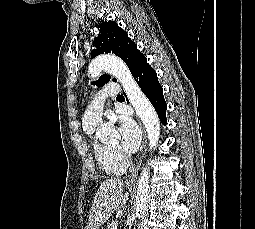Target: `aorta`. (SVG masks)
Segmentation results:
<instances>
[{"mask_svg": "<svg viewBox=\"0 0 255 229\" xmlns=\"http://www.w3.org/2000/svg\"><path fill=\"white\" fill-rule=\"evenodd\" d=\"M113 75L122 85L131 105L142 120L148 134L150 150H154L160 137V121L153 106L135 82L126 64L114 56H102L94 59L88 68V75L96 78L102 71ZM102 140L116 136V132L109 126L103 125L98 131ZM149 169L145 167L140 173L137 183L135 216L144 219L150 198Z\"/></svg>", "mask_w": 255, "mask_h": 229, "instance_id": "obj_1", "label": "aorta"}]
</instances>
